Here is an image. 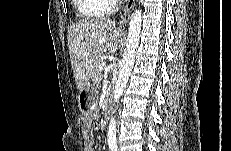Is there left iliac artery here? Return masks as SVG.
<instances>
[{"instance_id": "1", "label": "left iliac artery", "mask_w": 231, "mask_h": 151, "mask_svg": "<svg viewBox=\"0 0 231 151\" xmlns=\"http://www.w3.org/2000/svg\"><path fill=\"white\" fill-rule=\"evenodd\" d=\"M109 147H110L111 151H117V145L116 144L110 145Z\"/></svg>"}]
</instances>
